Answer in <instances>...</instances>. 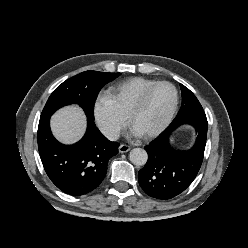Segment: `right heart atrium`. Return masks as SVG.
<instances>
[{
	"label": "right heart atrium",
	"mask_w": 248,
	"mask_h": 248,
	"mask_svg": "<svg viewBox=\"0 0 248 248\" xmlns=\"http://www.w3.org/2000/svg\"><path fill=\"white\" fill-rule=\"evenodd\" d=\"M92 111L96 125L108 139H117L127 125V117L106 93L97 95Z\"/></svg>",
	"instance_id": "obj_1"
}]
</instances>
